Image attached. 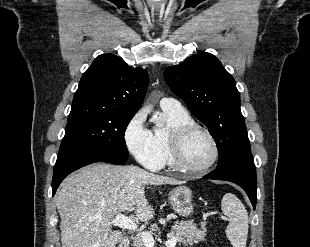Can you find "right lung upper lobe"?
<instances>
[{
  "label": "right lung upper lobe",
  "instance_id": "1",
  "mask_svg": "<svg viewBox=\"0 0 310 247\" xmlns=\"http://www.w3.org/2000/svg\"><path fill=\"white\" fill-rule=\"evenodd\" d=\"M148 73L112 54L98 56L85 71L71 110H111L135 114L144 99Z\"/></svg>",
  "mask_w": 310,
  "mask_h": 247
}]
</instances>
